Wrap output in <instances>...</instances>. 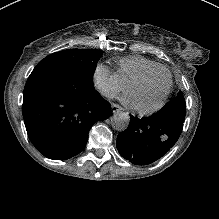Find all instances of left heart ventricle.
I'll list each match as a JSON object with an SVG mask.
<instances>
[{
  "mask_svg": "<svg viewBox=\"0 0 219 219\" xmlns=\"http://www.w3.org/2000/svg\"><path fill=\"white\" fill-rule=\"evenodd\" d=\"M167 84L168 73L166 70H164L158 75L149 78L135 86L132 91V98L136 103L151 105L162 96Z\"/></svg>",
  "mask_w": 219,
  "mask_h": 219,
  "instance_id": "obj_1",
  "label": "left heart ventricle"
}]
</instances>
